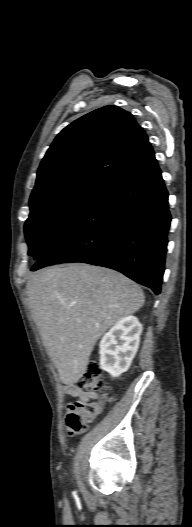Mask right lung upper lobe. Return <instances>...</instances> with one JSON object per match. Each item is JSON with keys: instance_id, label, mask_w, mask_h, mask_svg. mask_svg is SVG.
Masks as SVG:
<instances>
[{"instance_id": "cb5924a9", "label": "right lung upper lobe", "mask_w": 192, "mask_h": 527, "mask_svg": "<svg viewBox=\"0 0 192 527\" xmlns=\"http://www.w3.org/2000/svg\"><path fill=\"white\" fill-rule=\"evenodd\" d=\"M148 145L146 133L129 112L117 106L94 110L55 138L39 166L31 197L85 178L108 181Z\"/></svg>"}]
</instances>
